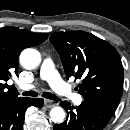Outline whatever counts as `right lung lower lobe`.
Instances as JSON below:
<instances>
[{
    "mask_svg": "<svg viewBox=\"0 0 130 130\" xmlns=\"http://www.w3.org/2000/svg\"><path fill=\"white\" fill-rule=\"evenodd\" d=\"M41 98H23L0 101V130H22L25 111L30 106L42 107Z\"/></svg>",
    "mask_w": 130,
    "mask_h": 130,
    "instance_id": "1",
    "label": "right lung lower lobe"
}]
</instances>
